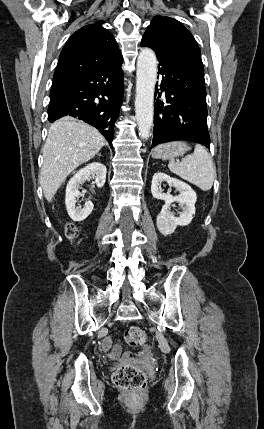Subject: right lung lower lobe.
<instances>
[{"instance_id": "1", "label": "right lung lower lobe", "mask_w": 264, "mask_h": 429, "mask_svg": "<svg viewBox=\"0 0 264 429\" xmlns=\"http://www.w3.org/2000/svg\"><path fill=\"white\" fill-rule=\"evenodd\" d=\"M122 62L119 53L90 73L52 88L49 122L64 116L77 117L96 127L113 147L114 124L124 92Z\"/></svg>"}]
</instances>
